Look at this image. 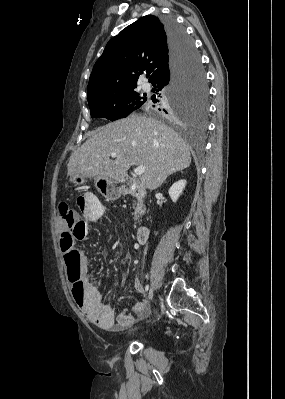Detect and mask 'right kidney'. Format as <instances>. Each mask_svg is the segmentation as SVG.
<instances>
[{
	"label": "right kidney",
	"instance_id": "right-kidney-1",
	"mask_svg": "<svg viewBox=\"0 0 285 399\" xmlns=\"http://www.w3.org/2000/svg\"><path fill=\"white\" fill-rule=\"evenodd\" d=\"M185 186H186V180H179L169 188L168 193L173 202H176L178 200Z\"/></svg>",
	"mask_w": 285,
	"mask_h": 399
}]
</instances>
